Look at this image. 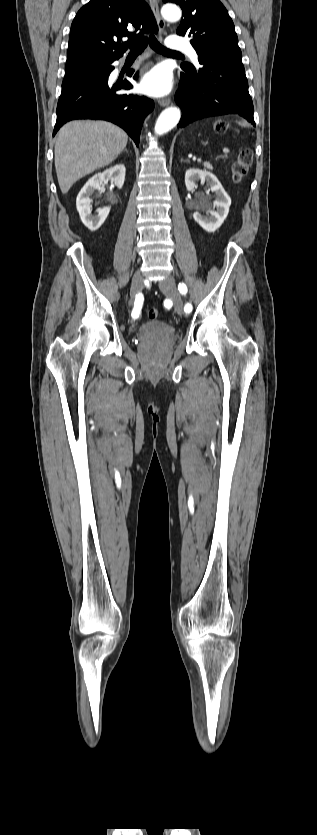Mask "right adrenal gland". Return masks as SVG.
I'll return each mask as SVG.
<instances>
[{
	"label": "right adrenal gland",
	"instance_id": "right-adrenal-gland-1",
	"mask_svg": "<svg viewBox=\"0 0 317 835\" xmlns=\"http://www.w3.org/2000/svg\"><path fill=\"white\" fill-rule=\"evenodd\" d=\"M123 152H128V150H127V149H125Z\"/></svg>",
	"mask_w": 317,
	"mask_h": 835
}]
</instances>
